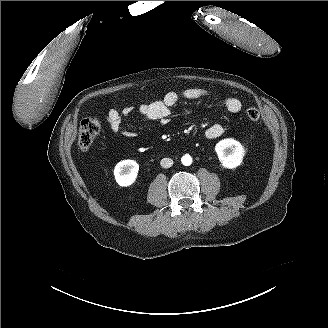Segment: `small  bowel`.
<instances>
[{
  "label": "small bowel",
  "instance_id": "small-bowel-1",
  "mask_svg": "<svg viewBox=\"0 0 328 328\" xmlns=\"http://www.w3.org/2000/svg\"><path fill=\"white\" fill-rule=\"evenodd\" d=\"M203 97H210L219 101L224 108L230 113H238L242 109L241 101L236 97H222L218 93L212 92L203 88H187L180 92H168L162 100L153 101L147 104H142L137 109L133 106H126L121 111L110 109L106 114V121L112 132L121 134L124 137L131 138L134 134L122 127V122L125 118L130 117L135 112L146 120L157 121L162 125L169 122L171 108L180 100H196ZM223 127L220 124H213L207 128L205 136L214 140L223 134Z\"/></svg>",
  "mask_w": 328,
  "mask_h": 328
}]
</instances>
